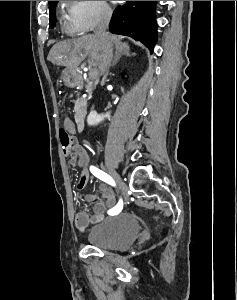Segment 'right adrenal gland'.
<instances>
[{"label": "right adrenal gland", "mask_w": 237, "mask_h": 300, "mask_svg": "<svg viewBox=\"0 0 237 300\" xmlns=\"http://www.w3.org/2000/svg\"><path fill=\"white\" fill-rule=\"evenodd\" d=\"M124 51H122V53H118L119 49L118 47H116V57H114L113 61H112V67H114V65H117L120 57H122V55H127V57H130V53H129V47H123Z\"/></svg>", "instance_id": "obj_1"}]
</instances>
